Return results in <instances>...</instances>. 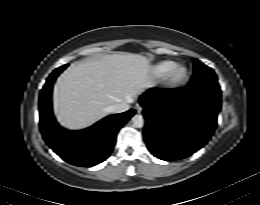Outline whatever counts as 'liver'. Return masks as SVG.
<instances>
[{
  "label": "liver",
  "instance_id": "liver-1",
  "mask_svg": "<svg viewBox=\"0 0 260 205\" xmlns=\"http://www.w3.org/2000/svg\"><path fill=\"white\" fill-rule=\"evenodd\" d=\"M151 85L149 60L139 54H111L71 65L54 88L57 120L71 130L86 128L105 117L107 107L131 103Z\"/></svg>",
  "mask_w": 260,
  "mask_h": 205
}]
</instances>
